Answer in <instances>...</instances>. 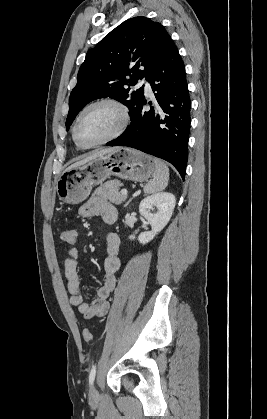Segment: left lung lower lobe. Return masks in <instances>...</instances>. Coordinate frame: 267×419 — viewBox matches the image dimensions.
<instances>
[{"instance_id": "left-lung-lower-lobe-1", "label": "left lung lower lobe", "mask_w": 267, "mask_h": 419, "mask_svg": "<svg viewBox=\"0 0 267 419\" xmlns=\"http://www.w3.org/2000/svg\"><path fill=\"white\" fill-rule=\"evenodd\" d=\"M146 79L152 87L157 104L147 110V101L141 100L130 115V126L107 145L128 146L162 158L173 164L184 179L188 160L191 100L185 66L172 40Z\"/></svg>"}]
</instances>
